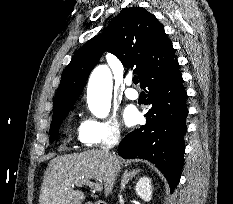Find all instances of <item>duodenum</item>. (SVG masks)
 I'll return each mask as SVG.
<instances>
[{
    "label": "duodenum",
    "instance_id": "duodenum-1",
    "mask_svg": "<svg viewBox=\"0 0 233 204\" xmlns=\"http://www.w3.org/2000/svg\"><path fill=\"white\" fill-rule=\"evenodd\" d=\"M86 204H107L103 201H95V202H89V203H86Z\"/></svg>",
    "mask_w": 233,
    "mask_h": 204
}]
</instances>
